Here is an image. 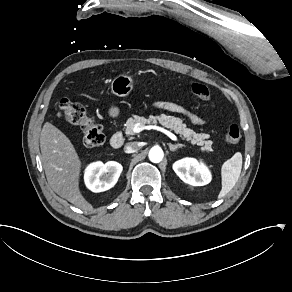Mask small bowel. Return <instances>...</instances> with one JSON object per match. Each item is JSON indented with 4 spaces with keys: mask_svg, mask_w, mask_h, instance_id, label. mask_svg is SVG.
<instances>
[{
    "mask_svg": "<svg viewBox=\"0 0 292 292\" xmlns=\"http://www.w3.org/2000/svg\"><path fill=\"white\" fill-rule=\"evenodd\" d=\"M154 106L161 110L180 114L186 117L191 123L195 125H201L204 123V120L201 117L192 113L191 111H189L187 108L183 107L180 104L170 101H158L154 103Z\"/></svg>",
    "mask_w": 292,
    "mask_h": 292,
    "instance_id": "obj_1",
    "label": "small bowel"
}]
</instances>
